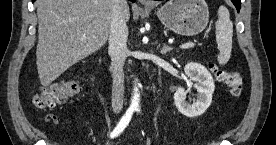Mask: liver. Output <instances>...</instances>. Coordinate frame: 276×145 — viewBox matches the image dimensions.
Returning <instances> with one entry per match:
<instances>
[{
  "label": "liver",
  "instance_id": "6515ba94",
  "mask_svg": "<svg viewBox=\"0 0 276 145\" xmlns=\"http://www.w3.org/2000/svg\"><path fill=\"white\" fill-rule=\"evenodd\" d=\"M36 6V64L46 87L106 43L114 0H37ZM129 16L128 7L127 21Z\"/></svg>",
  "mask_w": 276,
  "mask_h": 145
}]
</instances>
